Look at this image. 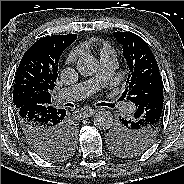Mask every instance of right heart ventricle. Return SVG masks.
<instances>
[{
	"label": "right heart ventricle",
	"mask_w": 184,
	"mask_h": 184,
	"mask_svg": "<svg viewBox=\"0 0 184 184\" xmlns=\"http://www.w3.org/2000/svg\"><path fill=\"white\" fill-rule=\"evenodd\" d=\"M99 55L100 59L108 58V57H115L116 52L115 49L108 43H102L99 46Z\"/></svg>",
	"instance_id": "e07e8e85"
}]
</instances>
